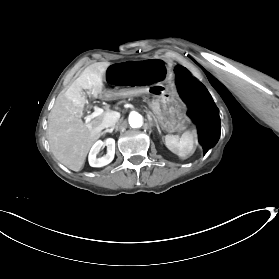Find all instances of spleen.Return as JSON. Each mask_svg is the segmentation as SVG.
<instances>
[{
	"label": "spleen",
	"mask_w": 279,
	"mask_h": 279,
	"mask_svg": "<svg viewBox=\"0 0 279 279\" xmlns=\"http://www.w3.org/2000/svg\"><path fill=\"white\" fill-rule=\"evenodd\" d=\"M166 147L174 154L186 158L193 153V138L190 131L184 132L180 137L166 135L164 138Z\"/></svg>",
	"instance_id": "3e777b00"
}]
</instances>
